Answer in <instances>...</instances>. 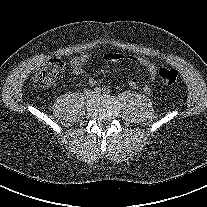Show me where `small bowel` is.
I'll return each mask as SVG.
<instances>
[{
    "mask_svg": "<svg viewBox=\"0 0 207 207\" xmlns=\"http://www.w3.org/2000/svg\"><path fill=\"white\" fill-rule=\"evenodd\" d=\"M123 58V55L119 53H108L105 56V59L107 61H118ZM137 65L140 67L144 68L147 71V83L143 86V91L146 94H150L152 92L153 84L156 79L157 75V69L153 62H151L148 59L145 58H140V57H132L131 58ZM89 60V55L87 54H82L78 57L73 58L70 61L71 65V70L74 75L80 76L84 73V66ZM89 83L90 84H95L96 80L94 78H89ZM129 85L133 89H137L139 87V82L137 79L132 78L129 80Z\"/></svg>",
    "mask_w": 207,
    "mask_h": 207,
    "instance_id": "small-bowel-1",
    "label": "small bowel"
}]
</instances>
